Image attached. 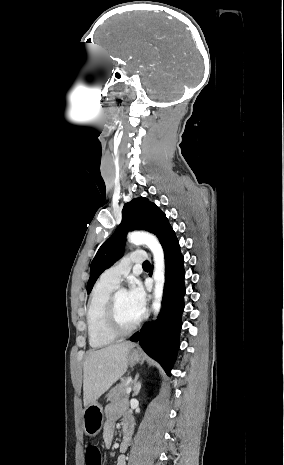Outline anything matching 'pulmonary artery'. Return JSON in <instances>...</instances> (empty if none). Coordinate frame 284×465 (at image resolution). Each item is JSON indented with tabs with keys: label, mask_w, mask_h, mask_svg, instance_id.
Segmentation results:
<instances>
[{
	"label": "pulmonary artery",
	"mask_w": 284,
	"mask_h": 465,
	"mask_svg": "<svg viewBox=\"0 0 284 465\" xmlns=\"http://www.w3.org/2000/svg\"><path fill=\"white\" fill-rule=\"evenodd\" d=\"M148 252L146 250H133L131 254H123L122 262L107 269L100 276V280L118 286L126 274L130 271L133 263H145Z\"/></svg>",
	"instance_id": "1"
}]
</instances>
